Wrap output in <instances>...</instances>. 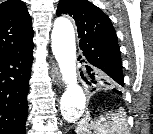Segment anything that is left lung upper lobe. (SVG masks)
Segmentation results:
<instances>
[{
  "label": "left lung upper lobe",
  "instance_id": "left-lung-upper-lobe-1",
  "mask_svg": "<svg viewBox=\"0 0 153 134\" xmlns=\"http://www.w3.org/2000/svg\"><path fill=\"white\" fill-rule=\"evenodd\" d=\"M62 13L69 14L76 22L86 62L105 74L104 84L120 90L124 86L121 54L109 17L87 0H61L56 14Z\"/></svg>",
  "mask_w": 153,
  "mask_h": 134
}]
</instances>
